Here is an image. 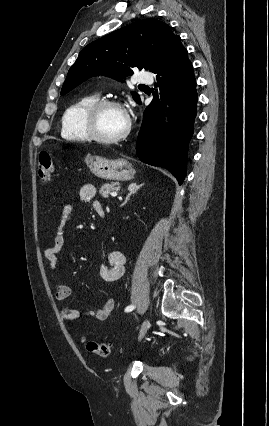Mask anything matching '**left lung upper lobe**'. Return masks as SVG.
Instances as JSON below:
<instances>
[{"instance_id": "5c2ea615", "label": "left lung upper lobe", "mask_w": 269, "mask_h": 426, "mask_svg": "<svg viewBox=\"0 0 269 426\" xmlns=\"http://www.w3.org/2000/svg\"><path fill=\"white\" fill-rule=\"evenodd\" d=\"M178 37L164 22L144 19L116 30L90 44L80 52L68 71L61 95L96 75L122 81L134 67L151 70ZM134 100L140 97L132 92Z\"/></svg>"}]
</instances>
